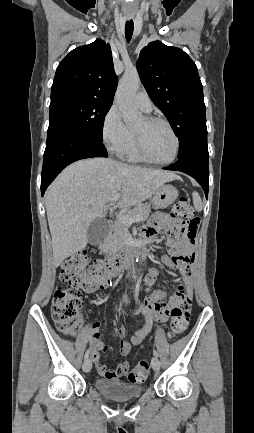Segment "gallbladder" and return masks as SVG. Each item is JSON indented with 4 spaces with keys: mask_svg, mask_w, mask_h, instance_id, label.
<instances>
[{
    "mask_svg": "<svg viewBox=\"0 0 254 433\" xmlns=\"http://www.w3.org/2000/svg\"><path fill=\"white\" fill-rule=\"evenodd\" d=\"M109 232V224L106 220L96 218L94 219L88 229L87 238L91 245H98L104 241Z\"/></svg>",
    "mask_w": 254,
    "mask_h": 433,
    "instance_id": "1",
    "label": "gallbladder"
}]
</instances>
